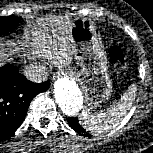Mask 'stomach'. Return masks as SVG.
<instances>
[{
	"mask_svg": "<svg viewBox=\"0 0 153 153\" xmlns=\"http://www.w3.org/2000/svg\"><path fill=\"white\" fill-rule=\"evenodd\" d=\"M71 26L74 56L81 66L75 76L83 89L87 106L93 109L112 94L107 56L91 20L75 18Z\"/></svg>",
	"mask_w": 153,
	"mask_h": 153,
	"instance_id": "1",
	"label": "stomach"
}]
</instances>
